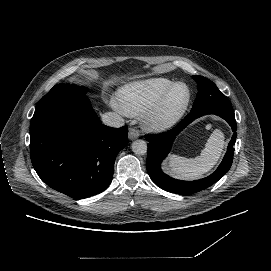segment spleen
Returning a JSON list of instances; mask_svg holds the SVG:
<instances>
[{
  "mask_svg": "<svg viewBox=\"0 0 271 271\" xmlns=\"http://www.w3.org/2000/svg\"><path fill=\"white\" fill-rule=\"evenodd\" d=\"M223 144L222 133L219 130H215L208 139L205 149L201 151L200 156L187 158L174 155L171 163L173 172L188 178L205 173L220 157Z\"/></svg>",
  "mask_w": 271,
  "mask_h": 271,
  "instance_id": "3e777b00",
  "label": "spleen"
}]
</instances>
